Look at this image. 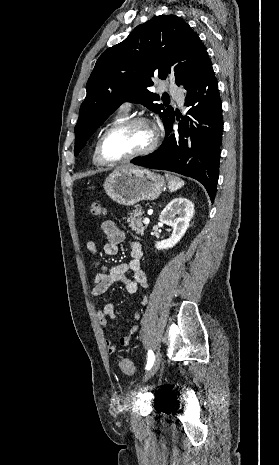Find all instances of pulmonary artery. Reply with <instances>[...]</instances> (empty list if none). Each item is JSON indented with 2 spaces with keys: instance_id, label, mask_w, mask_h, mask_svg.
Here are the masks:
<instances>
[{
  "instance_id": "1",
  "label": "pulmonary artery",
  "mask_w": 279,
  "mask_h": 465,
  "mask_svg": "<svg viewBox=\"0 0 279 465\" xmlns=\"http://www.w3.org/2000/svg\"><path fill=\"white\" fill-rule=\"evenodd\" d=\"M170 92L172 96L176 99V101L181 105L183 103V93L176 87L170 88ZM131 105L129 103H124L121 108L129 111Z\"/></svg>"
}]
</instances>
